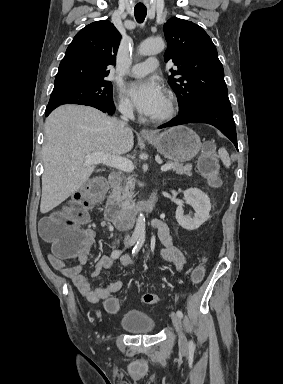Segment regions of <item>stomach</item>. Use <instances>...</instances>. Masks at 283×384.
<instances>
[{"mask_svg":"<svg viewBox=\"0 0 283 384\" xmlns=\"http://www.w3.org/2000/svg\"><path fill=\"white\" fill-rule=\"evenodd\" d=\"M144 140L155 146L159 154H163L170 162L178 164L193 160L201 148L199 136L186 126H175L162 134H156L155 138Z\"/></svg>","mask_w":283,"mask_h":384,"instance_id":"obj_1","label":"stomach"}]
</instances>
